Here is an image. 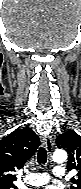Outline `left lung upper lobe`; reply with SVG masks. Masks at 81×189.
I'll return each instance as SVG.
<instances>
[{"instance_id": "1", "label": "left lung upper lobe", "mask_w": 81, "mask_h": 189, "mask_svg": "<svg viewBox=\"0 0 81 189\" xmlns=\"http://www.w3.org/2000/svg\"><path fill=\"white\" fill-rule=\"evenodd\" d=\"M56 144L58 148L65 149L69 154L68 170L78 171L77 178H71L73 183L71 189H81V136L69 130L57 137Z\"/></svg>"}]
</instances>
